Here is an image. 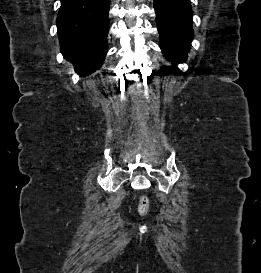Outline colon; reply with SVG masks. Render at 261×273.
<instances>
[{
    "label": "colon",
    "mask_w": 261,
    "mask_h": 273,
    "mask_svg": "<svg viewBox=\"0 0 261 273\" xmlns=\"http://www.w3.org/2000/svg\"><path fill=\"white\" fill-rule=\"evenodd\" d=\"M149 199L146 196L141 197L138 205V213L142 216L146 215L149 211Z\"/></svg>",
    "instance_id": "obj_1"
}]
</instances>
